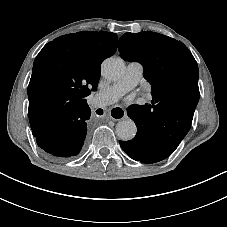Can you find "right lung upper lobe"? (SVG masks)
<instances>
[{
  "label": "right lung upper lobe",
  "instance_id": "obj_1",
  "mask_svg": "<svg viewBox=\"0 0 227 227\" xmlns=\"http://www.w3.org/2000/svg\"><path fill=\"white\" fill-rule=\"evenodd\" d=\"M118 37L106 31H81L47 43L37 55L28 86L29 107L43 108L42 120L58 124L95 90L102 61L115 53Z\"/></svg>",
  "mask_w": 227,
  "mask_h": 227
}]
</instances>
